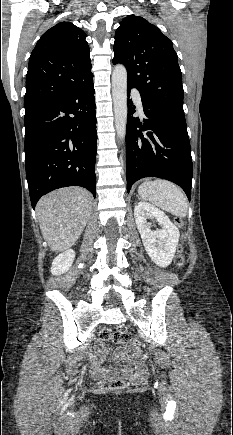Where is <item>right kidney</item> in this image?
<instances>
[{"label":"right kidney","instance_id":"right-kidney-1","mask_svg":"<svg viewBox=\"0 0 233 435\" xmlns=\"http://www.w3.org/2000/svg\"><path fill=\"white\" fill-rule=\"evenodd\" d=\"M75 258V251L72 249L66 250L59 254L52 262L51 273L60 275L69 270Z\"/></svg>","mask_w":233,"mask_h":435}]
</instances>
